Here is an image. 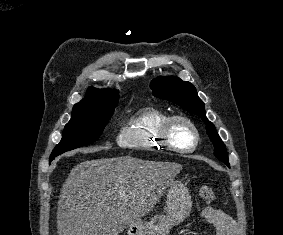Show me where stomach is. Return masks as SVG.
Listing matches in <instances>:
<instances>
[{
	"label": "stomach",
	"mask_w": 283,
	"mask_h": 235,
	"mask_svg": "<svg viewBox=\"0 0 283 235\" xmlns=\"http://www.w3.org/2000/svg\"><path fill=\"white\" fill-rule=\"evenodd\" d=\"M192 199L188 189L179 180H171L166 192L164 214L149 221H137L127 227V235H167L172 227L180 224L191 212Z\"/></svg>",
	"instance_id": "obj_1"
}]
</instances>
